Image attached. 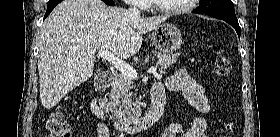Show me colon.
Segmentation results:
<instances>
[{"label":"colon","instance_id":"1","mask_svg":"<svg viewBox=\"0 0 280 137\" xmlns=\"http://www.w3.org/2000/svg\"><path fill=\"white\" fill-rule=\"evenodd\" d=\"M232 65L228 57H217L214 64V73L217 76L226 77L231 73ZM48 137H71L70 124L63 113L57 109L53 110L47 120ZM231 130V127H228ZM107 137L106 132L103 135Z\"/></svg>","mask_w":280,"mask_h":137}]
</instances>
